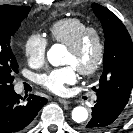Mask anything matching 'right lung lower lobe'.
Listing matches in <instances>:
<instances>
[{"label": "right lung lower lobe", "mask_w": 133, "mask_h": 133, "mask_svg": "<svg viewBox=\"0 0 133 133\" xmlns=\"http://www.w3.org/2000/svg\"><path fill=\"white\" fill-rule=\"evenodd\" d=\"M47 99L33 94L21 97L14 90L0 96V132L14 133L29 127Z\"/></svg>", "instance_id": "98d812e1"}]
</instances>
